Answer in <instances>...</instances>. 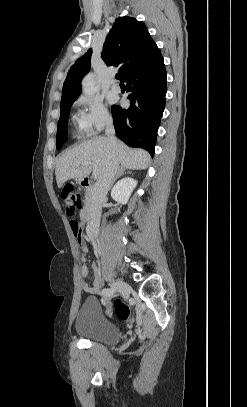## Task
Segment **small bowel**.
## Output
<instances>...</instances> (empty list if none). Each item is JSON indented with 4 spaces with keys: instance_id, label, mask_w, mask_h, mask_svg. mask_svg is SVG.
<instances>
[{
    "instance_id": "c3829d8e",
    "label": "small bowel",
    "mask_w": 247,
    "mask_h": 407,
    "mask_svg": "<svg viewBox=\"0 0 247 407\" xmlns=\"http://www.w3.org/2000/svg\"><path fill=\"white\" fill-rule=\"evenodd\" d=\"M78 243H79V246H80V249H81V252H82V257H81V260H82L81 275H82V278H83V285H82V286H83V289H84L86 292H88V293H97L98 290H99V282H98V281H95L94 284H93L92 286H90V285L87 283V281H86L87 276H88V267H87V265H86V254H87V252H88V249H87V246H86V244L84 243V241H83L81 235L78 236ZM93 269H94V271H97V267H96V266H93ZM105 304H106V306H107L108 308H110V302H109V301L106 300V301H105Z\"/></svg>"
}]
</instances>
